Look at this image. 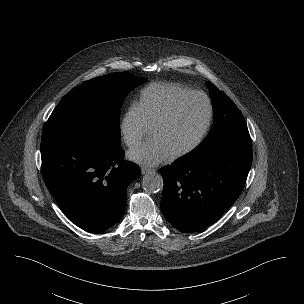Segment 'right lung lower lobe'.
Segmentation results:
<instances>
[{
	"label": "right lung lower lobe",
	"mask_w": 304,
	"mask_h": 304,
	"mask_svg": "<svg viewBox=\"0 0 304 304\" xmlns=\"http://www.w3.org/2000/svg\"><path fill=\"white\" fill-rule=\"evenodd\" d=\"M45 184L64 214L89 232L107 230L126 209V190L141 172L121 147L68 136L41 142Z\"/></svg>",
	"instance_id": "98d812e1"
}]
</instances>
